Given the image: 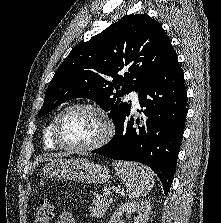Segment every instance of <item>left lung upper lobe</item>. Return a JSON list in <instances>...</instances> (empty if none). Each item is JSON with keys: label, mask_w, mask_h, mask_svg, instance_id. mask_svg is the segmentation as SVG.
I'll list each match as a JSON object with an SVG mask.
<instances>
[{"label": "left lung upper lobe", "mask_w": 221, "mask_h": 223, "mask_svg": "<svg viewBox=\"0 0 221 223\" xmlns=\"http://www.w3.org/2000/svg\"><path fill=\"white\" fill-rule=\"evenodd\" d=\"M170 44L161 24L147 14L124 16L72 49L49 83L38 117L67 100L88 98L109 112L116 130L130 111L120 97L140 91L161 67Z\"/></svg>", "instance_id": "left-lung-upper-lobe-1"}]
</instances>
